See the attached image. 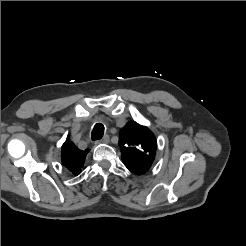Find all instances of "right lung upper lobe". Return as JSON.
Instances as JSON below:
<instances>
[{"instance_id":"1","label":"right lung upper lobe","mask_w":246,"mask_h":246,"mask_svg":"<svg viewBox=\"0 0 246 246\" xmlns=\"http://www.w3.org/2000/svg\"><path fill=\"white\" fill-rule=\"evenodd\" d=\"M88 152L89 149L84 151L80 150L73 142L66 140L61 148L62 164L71 173L78 175L81 172V168Z\"/></svg>"}]
</instances>
